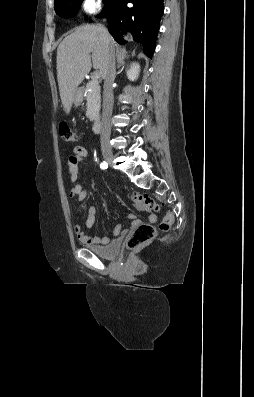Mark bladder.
I'll return each mask as SVG.
<instances>
[{
  "label": "bladder",
  "mask_w": 254,
  "mask_h": 397,
  "mask_svg": "<svg viewBox=\"0 0 254 397\" xmlns=\"http://www.w3.org/2000/svg\"><path fill=\"white\" fill-rule=\"evenodd\" d=\"M120 246V241L116 240L104 246H90L89 249L99 257L112 259L119 254Z\"/></svg>",
  "instance_id": "bladder-1"
}]
</instances>
